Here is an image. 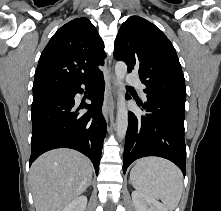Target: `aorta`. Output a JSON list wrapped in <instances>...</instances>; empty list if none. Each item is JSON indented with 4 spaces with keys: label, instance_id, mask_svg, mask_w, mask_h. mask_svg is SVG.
I'll use <instances>...</instances> for the list:
<instances>
[{
    "label": "aorta",
    "instance_id": "aorta-1",
    "mask_svg": "<svg viewBox=\"0 0 221 211\" xmlns=\"http://www.w3.org/2000/svg\"><path fill=\"white\" fill-rule=\"evenodd\" d=\"M126 73H127V65L122 61L117 62L115 65V75L119 87L118 91L119 106L116 117V125H117L116 134L119 139H123L125 137L128 127V111L124 95V79Z\"/></svg>",
    "mask_w": 221,
    "mask_h": 211
}]
</instances>
